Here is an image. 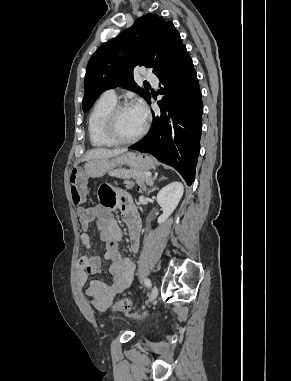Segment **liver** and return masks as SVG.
<instances>
[{
    "label": "liver",
    "mask_w": 291,
    "mask_h": 381,
    "mask_svg": "<svg viewBox=\"0 0 291 381\" xmlns=\"http://www.w3.org/2000/svg\"><path fill=\"white\" fill-rule=\"evenodd\" d=\"M126 151L127 149H112V150L105 149V148L92 149L86 154L83 161H89L92 159H109L112 157L119 156L125 153Z\"/></svg>",
    "instance_id": "liver-1"
}]
</instances>
